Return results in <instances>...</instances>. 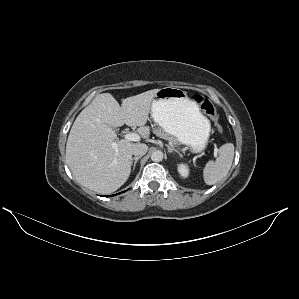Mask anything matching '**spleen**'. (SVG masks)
Listing matches in <instances>:
<instances>
[{"label": "spleen", "instance_id": "spleen-1", "mask_svg": "<svg viewBox=\"0 0 299 299\" xmlns=\"http://www.w3.org/2000/svg\"><path fill=\"white\" fill-rule=\"evenodd\" d=\"M234 158V145L226 143L219 148V156L215 161H208L204 170V182L213 185L222 180L229 172Z\"/></svg>", "mask_w": 299, "mask_h": 299}]
</instances>
